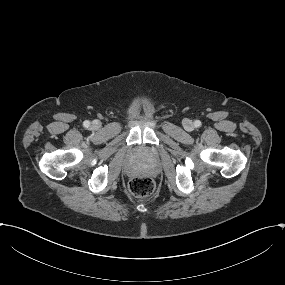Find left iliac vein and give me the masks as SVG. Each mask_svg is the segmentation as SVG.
<instances>
[{"mask_svg":"<svg viewBox=\"0 0 285 285\" xmlns=\"http://www.w3.org/2000/svg\"><path fill=\"white\" fill-rule=\"evenodd\" d=\"M183 124H184V128L186 130H192L193 129L192 121H190L189 119H185Z\"/></svg>","mask_w":285,"mask_h":285,"instance_id":"4c4485c4","label":"left iliac vein"}]
</instances>
